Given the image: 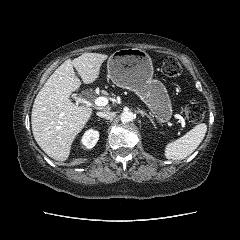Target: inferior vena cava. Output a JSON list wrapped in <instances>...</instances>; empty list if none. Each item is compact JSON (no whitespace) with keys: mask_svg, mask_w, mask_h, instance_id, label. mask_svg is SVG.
<instances>
[{"mask_svg":"<svg viewBox=\"0 0 240 240\" xmlns=\"http://www.w3.org/2000/svg\"><path fill=\"white\" fill-rule=\"evenodd\" d=\"M97 115L101 118H105L107 120L114 118L115 113L114 112H109V111H104V112H97Z\"/></svg>","mask_w":240,"mask_h":240,"instance_id":"inferior-vena-cava-1","label":"inferior vena cava"}]
</instances>
